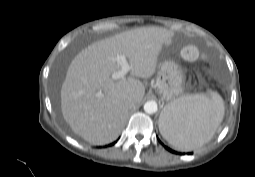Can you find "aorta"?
Masks as SVG:
<instances>
[{
  "label": "aorta",
  "mask_w": 255,
  "mask_h": 177,
  "mask_svg": "<svg viewBox=\"0 0 255 177\" xmlns=\"http://www.w3.org/2000/svg\"><path fill=\"white\" fill-rule=\"evenodd\" d=\"M157 109H158V106L155 101H147L144 104V111L148 114H153V113L157 112Z\"/></svg>",
  "instance_id": "aorta-1"
}]
</instances>
